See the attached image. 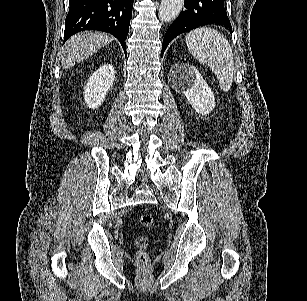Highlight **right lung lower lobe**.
Masks as SVG:
<instances>
[{"instance_id":"98d812e1","label":"right lung lower lobe","mask_w":307,"mask_h":301,"mask_svg":"<svg viewBox=\"0 0 307 301\" xmlns=\"http://www.w3.org/2000/svg\"><path fill=\"white\" fill-rule=\"evenodd\" d=\"M133 0H70L65 20L64 42L83 30H99L114 35L126 53Z\"/></svg>"}]
</instances>
